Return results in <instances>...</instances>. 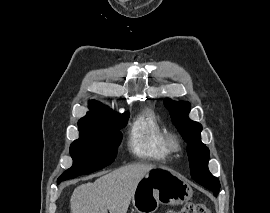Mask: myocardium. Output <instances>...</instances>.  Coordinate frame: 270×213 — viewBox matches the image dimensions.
<instances>
[{"label":"myocardium","mask_w":270,"mask_h":213,"mask_svg":"<svg viewBox=\"0 0 270 213\" xmlns=\"http://www.w3.org/2000/svg\"><path fill=\"white\" fill-rule=\"evenodd\" d=\"M167 144L171 153H177L182 148L180 139L174 134H168Z\"/></svg>","instance_id":"1"}]
</instances>
